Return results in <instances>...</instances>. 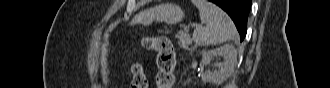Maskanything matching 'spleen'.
<instances>
[{"instance_id":"obj_1","label":"spleen","mask_w":330,"mask_h":88,"mask_svg":"<svg viewBox=\"0 0 330 88\" xmlns=\"http://www.w3.org/2000/svg\"><path fill=\"white\" fill-rule=\"evenodd\" d=\"M192 2L199 10L201 22L206 25L194 30L193 39L196 44L216 45L237 37L234 23L220 7L206 0Z\"/></svg>"}]
</instances>
